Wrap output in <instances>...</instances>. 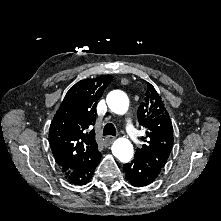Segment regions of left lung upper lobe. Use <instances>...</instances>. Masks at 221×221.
<instances>
[{
  "mask_svg": "<svg viewBox=\"0 0 221 221\" xmlns=\"http://www.w3.org/2000/svg\"><path fill=\"white\" fill-rule=\"evenodd\" d=\"M147 88L137 111L139 124L146 129V136L141 138L145 144L136 149L134 157L161 172L172 149L173 127L161 97L150 83Z\"/></svg>",
  "mask_w": 221,
  "mask_h": 221,
  "instance_id": "obj_1",
  "label": "left lung upper lobe"
}]
</instances>
